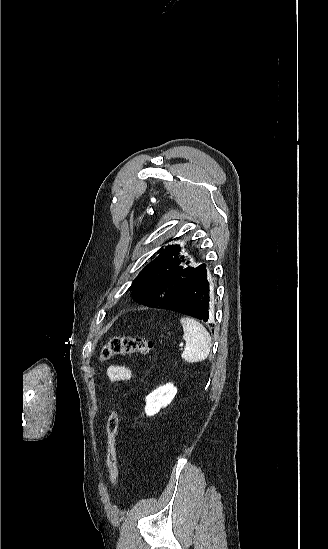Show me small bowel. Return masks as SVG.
<instances>
[{
    "mask_svg": "<svg viewBox=\"0 0 328 549\" xmlns=\"http://www.w3.org/2000/svg\"><path fill=\"white\" fill-rule=\"evenodd\" d=\"M107 376L112 383H119L130 380L133 377V372L123 365H111L107 369Z\"/></svg>",
    "mask_w": 328,
    "mask_h": 549,
    "instance_id": "obj_1",
    "label": "small bowel"
}]
</instances>
